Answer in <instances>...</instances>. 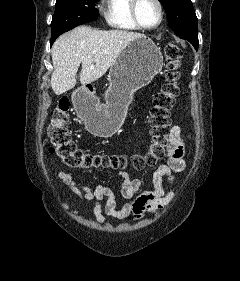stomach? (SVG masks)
Here are the masks:
<instances>
[{
    "label": "stomach",
    "mask_w": 240,
    "mask_h": 281,
    "mask_svg": "<svg viewBox=\"0 0 240 281\" xmlns=\"http://www.w3.org/2000/svg\"><path fill=\"white\" fill-rule=\"evenodd\" d=\"M162 66L160 49L149 37L133 40L110 68L104 104L95 101L93 93L83 88L86 99L76 104V109L86 128L96 136L113 135L124 121L134 92L148 85Z\"/></svg>",
    "instance_id": "stomach-1"
}]
</instances>
